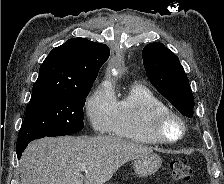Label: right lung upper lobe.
I'll return each mask as SVG.
<instances>
[{
  "label": "right lung upper lobe",
  "mask_w": 224,
  "mask_h": 184,
  "mask_svg": "<svg viewBox=\"0 0 224 184\" xmlns=\"http://www.w3.org/2000/svg\"><path fill=\"white\" fill-rule=\"evenodd\" d=\"M107 45L73 38L54 48L39 69L32 91L92 87L100 67L108 59Z\"/></svg>",
  "instance_id": "obj_1"
}]
</instances>
